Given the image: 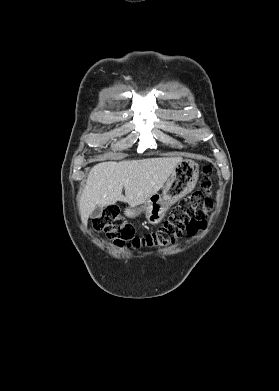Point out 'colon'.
I'll return each mask as SVG.
<instances>
[{
    "mask_svg": "<svg viewBox=\"0 0 279 391\" xmlns=\"http://www.w3.org/2000/svg\"><path fill=\"white\" fill-rule=\"evenodd\" d=\"M211 169H204L200 180V190L180 200L170 211L164 223L154 232L136 235L135 228L121 214L118 207L105 210L94 220V227L102 231L119 247H167L174 244L186 231L195 235L206 225L208 214L213 209L210 198L212 182Z\"/></svg>",
    "mask_w": 279,
    "mask_h": 391,
    "instance_id": "5ec220e1",
    "label": "colon"
}]
</instances>
